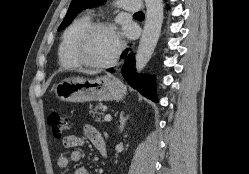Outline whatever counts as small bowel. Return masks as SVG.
I'll return each mask as SVG.
<instances>
[{
  "mask_svg": "<svg viewBox=\"0 0 249 174\" xmlns=\"http://www.w3.org/2000/svg\"><path fill=\"white\" fill-rule=\"evenodd\" d=\"M84 137L90 140L93 145L96 147L98 152L102 157H106V153H108L107 145L102 137V135L98 132V130L90 125L86 124L83 129ZM84 143V139L82 137L76 135H67L63 139V146L65 149H73L69 154L61 153L58 157L57 163L58 166L62 169H67L70 163L79 162L82 158V153L80 150L76 149L77 147L82 146ZM69 174H89L88 170L79 166L74 168Z\"/></svg>",
  "mask_w": 249,
  "mask_h": 174,
  "instance_id": "1",
  "label": "small bowel"
}]
</instances>
